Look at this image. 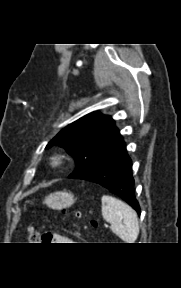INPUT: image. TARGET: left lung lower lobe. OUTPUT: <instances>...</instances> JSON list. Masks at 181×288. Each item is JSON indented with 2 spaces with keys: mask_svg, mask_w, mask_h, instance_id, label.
<instances>
[{
  "mask_svg": "<svg viewBox=\"0 0 181 288\" xmlns=\"http://www.w3.org/2000/svg\"><path fill=\"white\" fill-rule=\"evenodd\" d=\"M81 179L107 188L126 201L140 215V206L134 194L132 161L127 154L123 139L106 159Z\"/></svg>",
  "mask_w": 181,
  "mask_h": 288,
  "instance_id": "obj_1",
  "label": "left lung lower lobe"
}]
</instances>
